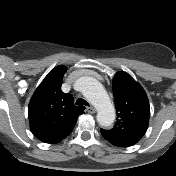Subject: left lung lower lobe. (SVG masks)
<instances>
[{
  "label": "left lung lower lobe",
  "instance_id": "left-lung-lower-lobe-1",
  "mask_svg": "<svg viewBox=\"0 0 176 176\" xmlns=\"http://www.w3.org/2000/svg\"><path fill=\"white\" fill-rule=\"evenodd\" d=\"M102 136L107 140L109 141L111 144L115 145V146H118V147H128L127 145H125L124 143L118 141V140H115L109 136H107L106 134H104L103 132H101Z\"/></svg>",
  "mask_w": 176,
  "mask_h": 176
}]
</instances>
